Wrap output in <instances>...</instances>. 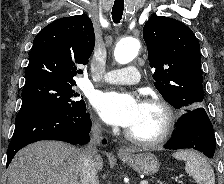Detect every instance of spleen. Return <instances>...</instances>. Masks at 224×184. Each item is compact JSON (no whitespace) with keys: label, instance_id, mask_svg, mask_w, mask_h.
I'll list each match as a JSON object with an SVG mask.
<instances>
[{"label":"spleen","instance_id":"obj_1","mask_svg":"<svg viewBox=\"0 0 224 184\" xmlns=\"http://www.w3.org/2000/svg\"><path fill=\"white\" fill-rule=\"evenodd\" d=\"M178 160L185 161V171L198 184H215V175L208 161L194 151H178L173 154Z\"/></svg>","mask_w":224,"mask_h":184}]
</instances>
